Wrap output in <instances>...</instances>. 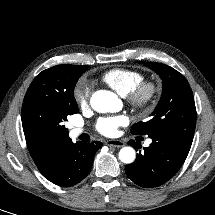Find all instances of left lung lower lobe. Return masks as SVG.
I'll use <instances>...</instances> for the list:
<instances>
[{"mask_svg":"<svg viewBox=\"0 0 215 215\" xmlns=\"http://www.w3.org/2000/svg\"><path fill=\"white\" fill-rule=\"evenodd\" d=\"M151 139V145L145 147L144 152L140 151L137 159L125 167L127 176L144 188L157 187L171 179L183 165L190 150L166 137ZM128 143L138 149L135 141Z\"/></svg>","mask_w":215,"mask_h":215,"instance_id":"1","label":"left lung lower lobe"}]
</instances>
